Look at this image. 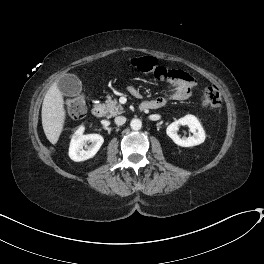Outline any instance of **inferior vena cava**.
I'll list each match as a JSON object with an SVG mask.
<instances>
[{
  "label": "inferior vena cava",
  "mask_w": 264,
  "mask_h": 264,
  "mask_svg": "<svg viewBox=\"0 0 264 264\" xmlns=\"http://www.w3.org/2000/svg\"><path fill=\"white\" fill-rule=\"evenodd\" d=\"M116 125H123L126 122V118L124 116H118L114 119Z\"/></svg>",
  "instance_id": "obj_1"
}]
</instances>
